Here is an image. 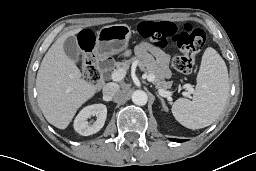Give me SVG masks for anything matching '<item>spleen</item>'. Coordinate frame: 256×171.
Returning <instances> with one entry per match:
<instances>
[{
    "mask_svg": "<svg viewBox=\"0 0 256 171\" xmlns=\"http://www.w3.org/2000/svg\"><path fill=\"white\" fill-rule=\"evenodd\" d=\"M227 66L217 51L207 48L202 56L193 100L179 98L172 106L175 119L189 129L211 125L222 113L229 96Z\"/></svg>",
    "mask_w": 256,
    "mask_h": 171,
    "instance_id": "3e777b00",
    "label": "spleen"
}]
</instances>
